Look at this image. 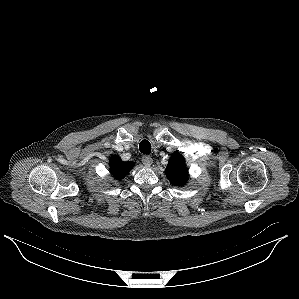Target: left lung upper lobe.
Wrapping results in <instances>:
<instances>
[{
  "mask_svg": "<svg viewBox=\"0 0 299 299\" xmlns=\"http://www.w3.org/2000/svg\"><path fill=\"white\" fill-rule=\"evenodd\" d=\"M166 175L173 185L181 186L188 178L185 159L180 154L171 157L166 169Z\"/></svg>",
  "mask_w": 299,
  "mask_h": 299,
  "instance_id": "5c2ea615",
  "label": "left lung upper lobe"
}]
</instances>
